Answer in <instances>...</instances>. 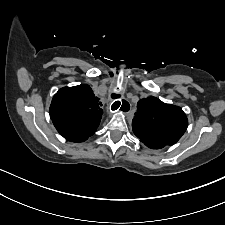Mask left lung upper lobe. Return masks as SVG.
I'll use <instances>...</instances> for the list:
<instances>
[{"label":"left lung upper lobe","mask_w":225,"mask_h":225,"mask_svg":"<svg viewBox=\"0 0 225 225\" xmlns=\"http://www.w3.org/2000/svg\"><path fill=\"white\" fill-rule=\"evenodd\" d=\"M137 105L132 129L144 144L173 145L186 131L188 120L182 108L155 97L141 99Z\"/></svg>","instance_id":"obj_1"}]
</instances>
